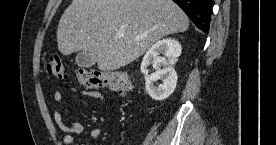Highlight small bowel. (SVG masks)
Masks as SVG:
<instances>
[{"mask_svg":"<svg viewBox=\"0 0 276 145\" xmlns=\"http://www.w3.org/2000/svg\"><path fill=\"white\" fill-rule=\"evenodd\" d=\"M74 92H79L80 94L99 100L101 102H106V97L99 91H79L72 89ZM53 100L55 102V108L53 111V119L57 127L64 133L63 141L66 145L73 144V136L79 135L84 132V126L79 121H68L63 115L60 104L63 100V95L60 91H56L53 94ZM102 135V130L100 128H91L86 131L87 142L86 145H90L92 139L100 138Z\"/></svg>","mask_w":276,"mask_h":145,"instance_id":"obj_1","label":"small bowel"}]
</instances>
